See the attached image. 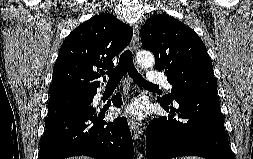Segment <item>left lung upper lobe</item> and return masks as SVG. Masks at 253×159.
<instances>
[{
  "label": "left lung upper lobe",
  "instance_id": "1",
  "mask_svg": "<svg viewBox=\"0 0 253 159\" xmlns=\"http://www.w3.org/2000/svg\"><path fill=\"white\" fill-rule=\"evenodd\" d=\"M144 49L153 52L156 68L165 70L173 86L162 100L172 103L181 95H217V82L206 47L198 35L169 15L150 17L140 30Z\"/></svg>",
  "mask_w": 253,
  "mask_h": 159
}]
</instances>
